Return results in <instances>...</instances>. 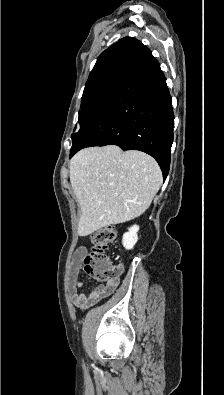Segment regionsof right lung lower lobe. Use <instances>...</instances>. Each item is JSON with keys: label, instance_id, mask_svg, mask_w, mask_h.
Here are the masks:
<instances>
[{"label": "right lung lower lobe", "instance_id": "right-lung-lower-lobe-1", "mask_svg": "<svg viewBox=\"0 0 224 395\" xmlns=\"http://www.w3.org/2000/svg\"><path fill=\"white\" fill-rule=\"evenodd\" d=\"M173 125L166 78L151 51L142 44L122 67L111 90L72 145L70 157L85 147L114 144L123 150L151 155L166 179Z\"/></svg>", "mask_w": 224, "mask_h": 395}]
</instances>
